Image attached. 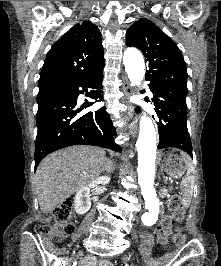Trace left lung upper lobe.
<instances>
[{
    "label": "left lung upper lobe",
    "instance_id": "left-lung-upper-lobe-1",
    "mask_svg": "<svg viewBox=\"0 0 221 266\" xmlns=\"http://www.w3.org/2000/svg\"><path fill=\"white\" fill-rule=\"evenodd\" d=\"M126 45L139 48L149 70L145 79L187 94V70L176 43L151 21L141 18L127 30Z\"/></svg>",
    "mask_w": 221,
    "mask_h": 266
}]
</instances>
